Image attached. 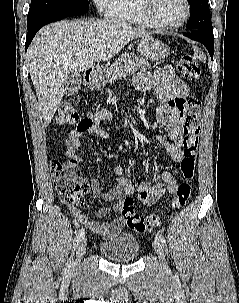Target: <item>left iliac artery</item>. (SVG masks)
<instances>
[{
    "instance_id": "44dca946",
    "label": "left iliac artery",
    "mask_w": 239,
    "mask_h": 303,
    "mask_svg": "<svg viewBox=\"0 0 239 303\" xmlns=\"http://www.w3.org/2000/svg\"><path fill=\"white\" fill-rule=\"evenodd\" d=\"M156 239H158L163 245H166V240L161 233L156 234Z\"/></svg>"
}]
</instances>
